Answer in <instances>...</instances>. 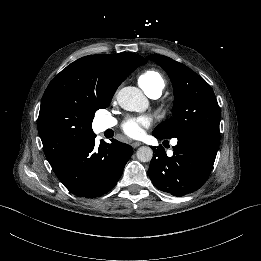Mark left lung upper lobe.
Instances as JSON below:
<instances>
[{"mask_svg":"<svg viewBox=\"0 0 261 261\" xmlns=\"http://www.w3.org/2000/svg\"><path fill=\"white\" fill-rule=\"evenodd\" d=\"M147 59L166 71L175 97L173 116L159 124L153 134L166 139L197 129L219 134L220 110L212 87L193 70L169 57L152 54Z\"/></svg>","mask_w":261,"mask_h":261,"instance_id":"5c2ea615","label":"left lung upper lobe"}]
</instances>
